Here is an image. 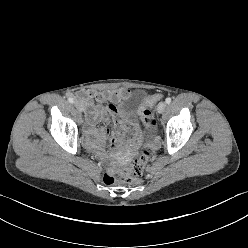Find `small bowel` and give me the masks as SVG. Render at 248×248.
<instances>
[{
    "label": "small bowel",
    "mask_w": 248,
    "mask_h": 248,
    "mask_svg": "<svg viewBox=\"0 0 248 248\" xmlns=\"http://www.w3.org/2000/svg\"><path fill=\"white\" fill-rule=\"evenodd\" d=\"M131 94L127 88H118L105 92L85 91L79 94V99L85 105L87 120L85 125V144L93 152L111 156L113 151L121 152V145L125 140L130 146L139 141V133L134 124L126 125L117 103ZM94 100L100 105L94 104ZM99 122L104 125L97 127ZM110 137L111 144L106 145Z\"/></svg>",
    "instance_id": "c3829d8e"
}]
</instances>
